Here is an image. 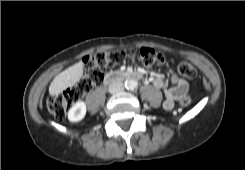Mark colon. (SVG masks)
I'll list each match as a JSON object with an SVG mask.
<instances>
[{
    "mask_svg": "<svg viewBox=\"0 0 245 170\" xmlns=\"http://www.w3.org/2000/svg\"><path fill=\"white\" fill-rule=\"evenodd\" d=\"M125 57L139 62L144 67H150L165 61L161 53L149 48L130 50L128 52L122 50L98 52L86 59L85 73L75 86L57 94L46 96L45 106L48 111L55 117L62 118L73 103L102 83L103 71L118 66L124 61ZM178 70L181 75L188 78H192L196 74L194 66L188 61H181ZM189 103L190 99L188 97L180 101V104L184 106Z\"/></svg>",
    "mask_w": 245,
    "mask_h": 170,
    "instance_id": "obj_1",
    "label": "colon"
}]
</instances>
